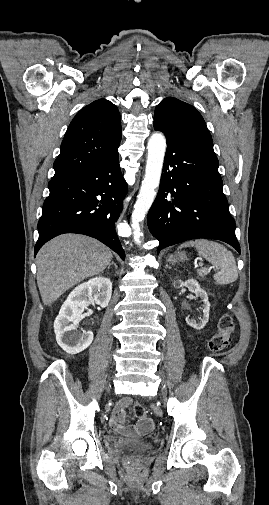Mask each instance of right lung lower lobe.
<instances>
[{
  "label": "right lung lower lobe",
  "instance_id": "right-lung-lower-lobe-1",
  "mask_svg": "<svg viewBox=\"0 0 269 505\" xmlns=\"http://www.w3.org/2000/svg\"><path fill=\"white\" fill-rule=\"evenodd\" d=\"M38 222L39 238L34 256L50 239L63 233L94 237L110 247L123 260L124 250L114 231L127 194L120 172L118 151L74 171L54 176L48 183Z\"/></svg>",
  "mask_w": 269,
  "mask_h": 505
}]
</instances>
